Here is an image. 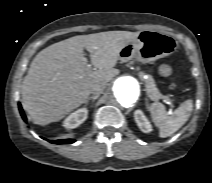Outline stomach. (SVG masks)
I'll return each mask as SVG.
<instances>
[{
    "instance_id": "stomach-1",
    "label": "stomach",
    "mask_w": 212,
    "mask_h": 183,
    "mask_svg": "<svg viewBox=\"0 0 212 183\" xmlns=\"http://www.w3.org/2000/svg\"><path fill=\"white\" fill-rule=\"evenodd\" d=\"M178 46L177 40L166 33L154 30L140 31L138 37L128 43L120 52L119 59L128 61L136 57L143 63H150L173 54ZM160 75L168 77L172 74V67L161 64L158 68Z\"/></svg>"
}]
</instances>
